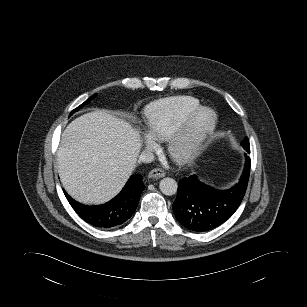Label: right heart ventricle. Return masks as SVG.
Instances as JSON below:
<instances>
[{
    "label": "right heart ventricle",
    "mask_w": 307,
    "mask_h": 307,
    "mask_svg": "<svg viewBox=\"0 0 307 307\" xmlns=\"http://www.w3.org/2000/svg\"><path fill=\"white\" fill-rule=\"evenodd\" d=\"M199 106V100L188 95L168 97L149 104L145 112L149 136L157 141L167 140L187 115Z\"/></svg>",
    "instance_id": "e07e8e85"
}]
</instances>
